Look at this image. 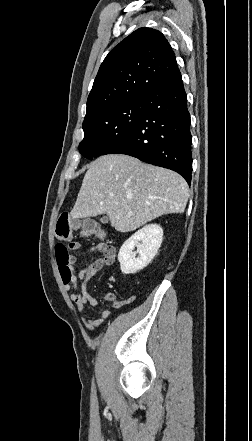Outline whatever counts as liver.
<instances>
[{
	"instance_id": "liver-1",
	"label": "liver",
	"mask_w": 252,
	"mask_h": 441,
	"mask_svg": "<svg viewBox=\"0 0 252 441\" xmlns=\"http://www.w3.org/2000/svg\"><path fill=\"white\" fill-rule=\"evenodd\" d=\"M189 198L186 181L169 169L124 155H104L84 176L72 218L107 214L119 232H131L171 213H183Z\"/></svg>"
}]
</instances>
